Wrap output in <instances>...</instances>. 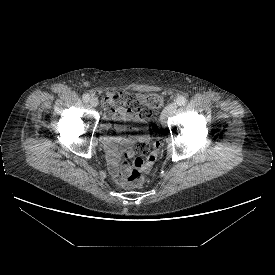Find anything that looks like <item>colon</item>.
<instances>
[{
	"label": "colon",
	"instance_id": "colon-1",
	"mask_svg": "<svg viewBox=\"0 0 275 275\" xmlns=\"http://www.w3.org/2000/svg\"><path fill=\"white\" fill-rule=\"evenodd\" d=\"M162 105V98L158 94H149L141 97V99L135 100L133 106L140 115L148 120H153L154 111ZM155 127V126H154ZM152 147V151L150 152ZM159 143H153L151 146L148 138H142L136 147V151L139 154H150L146 159L136 158L134 160V167L123 185L127 188L140 187L145 181V174L152 170L158 154Z\"/></svg>",
	"mask_w": 275,
	"mask_h": 275
}]
</instances>
